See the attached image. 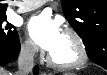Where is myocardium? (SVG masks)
Here are the masks:
<instances>
[{
	"label": "myocardium",
	"mask_w": 107,
	"mask_h": 75,
	"mask_svg": "<svg viewBox=\"0 0 107 75\" xmlns=\"http://www.w3.org/2000/svg\"><path fill=\"white\" fill-rule=\"evenodd\" d=\"M63 33L68 35L74 41L77 48L78 57L70 63H59L53 59L51 54H49L47 57L48 64L53 68L60 70H70L82 66L88 59V52L83 39L74 29L70 27L65 28Z\"/></svg>",
	"instance_id": "obj_1"
}]
</instances>
